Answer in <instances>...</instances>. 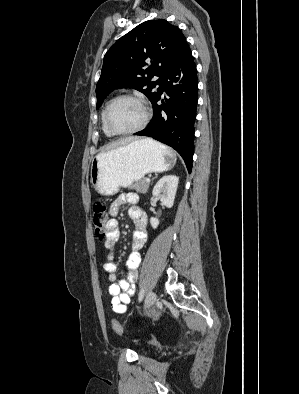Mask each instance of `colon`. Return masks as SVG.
<instances>
[{"mask_svg": "<svg viewBox=\"0 0 299 394\" xmlns=\"http://www.w3.org/2000/svg\"><path fill=\"white\" fill-rule=\"evenodd\" d=\"M93 226L94 232L98 239H103L106 237V224L108 221V211L107 205L101 201L96 200L93 204ZM114 331L122 335L123 328L117 320H113L112 322Z\"/></svg>", "mask_w": 299, "mask_h": 394, "instance_id": "colon-1", "label": "colon"}]
</instances>
